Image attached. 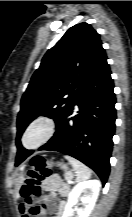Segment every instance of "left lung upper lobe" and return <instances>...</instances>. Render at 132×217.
<instances>
[{
	"mask_svg": "<svg viewBox=\"0 0 132 217\" xmlns=\"http://www.w3.org/2000/svg\"><path fill=\"white\" fill-rule=\"evenodd\" d=\"M106 60L99 34L91 25L80 23L69 28L44 55L22 96L16 143L39 115L54 119L57 126Z\"/></svg>",
	"mask_w": 132,
	"mask_h": 217,
	"instance_id": "obj_1",
	"label": "left lung upper lobe"
}]
</instances>
